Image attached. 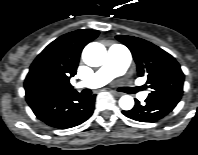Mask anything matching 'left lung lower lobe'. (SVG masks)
I'll use <instances>...</instances> for the list:
<instances>
[{"mask_svg": "<svg viewBox=\"0 0 198 155\" xmlns=\"http://www.w3.org/2000/svg\"><path fill=\"white\" fill-rule=\"evenodd\" d=\"M177 103L171 99L147 98L145 104L141 105L138 100H135L134 108L129 111H122V113L139 122H156L171 112Z\"/></svg>", "mask_w": 198, "mask_h": 155, "instance_id": "left-lung-lower-lobe-1", "label": "left lung lower lobe"}]
</instances>
